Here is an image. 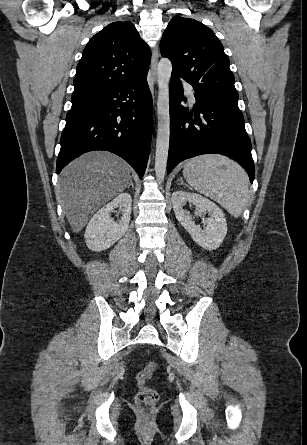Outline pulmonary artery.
<instances>
[{
	"instance_id": "obj_1",
	"label": "pulmonary artery",
	"mask_w": 307,
	"mask_h": 445,
	"mask_svg": "<svg viewBox=\"0 0 307 445\" xmlns=\"http://www.w3.org/2000/svg\"><path fill=\"white\" fill-rule=\"evenodd\" d=\"M181 87H182V89L187 90V89H189L190 84H189V82L184 81V82H182ZM190 99H191L192 101H194V95H193L192 92L190 93Z\"/></svg>"
}]
</instances>
